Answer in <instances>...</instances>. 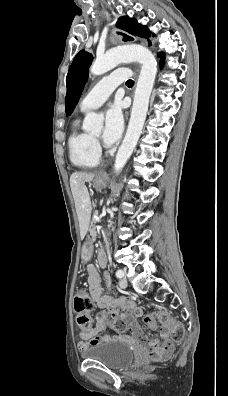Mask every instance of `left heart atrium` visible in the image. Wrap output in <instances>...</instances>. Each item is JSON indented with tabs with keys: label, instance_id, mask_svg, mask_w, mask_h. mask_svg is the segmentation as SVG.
I'll return each mask as SVG.
<instances>
[{
	"label": "left heart atrium",
	"instance_id": "left-heart-atrium-1",
	"mask_svg": "<svg viewBox=\"0 0 228 396\" xmlns=\"http://www.w3.org/2000/svg\"><path fill=\"white\" fill-rule=\"evenodd\" d=\"M124 119L119 104H113L105 114L103 140L108 145H114L122 135Z\"/></svg>",
	"mask_w": 228,
	"mask_h": 396
}]
</instances>
